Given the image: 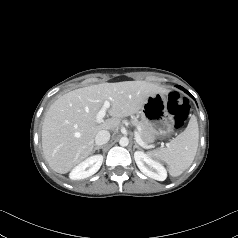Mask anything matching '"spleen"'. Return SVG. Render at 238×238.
Listing matches in <instances>:
<instances>
[{
  "mask_svg": "<svg viewBox=\"0 0 238 238\" xmlns=\"http://www.w3.org/2000/svg\"><path fill=\"white\" fill-rule=\"evenodd\" d=\"M198 140V123L196 117L192 116L182 133L172 139L166 147L150 151L148 156L165 162L169 174L176 177L192 164L197 152Z\"/></svg>",
  "mask_w": 238,
  "mask_h": 238,
  "instance_id": "spleen-1",
  "label": "spleen"
}]
</instances>
